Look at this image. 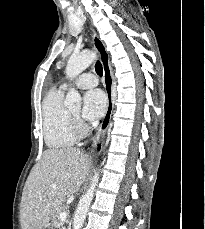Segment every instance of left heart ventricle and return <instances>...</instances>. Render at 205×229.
<instances>
[{"instance_id": "left-heart-ventricle-1", "label": "left heart ventricle", "mask_w": 205, "mask_h": 229, "mask_svg": "<svg viewBox=\"0 0 205 229\" xmlns=\"http://www.w3.org/2000/svg\"><path fill=\"white\" fill-rule=\"evenodd\" d=\"M73 114L78 115L79 114V109H75L72 111Z\"/></svg>"}]
</instances>
